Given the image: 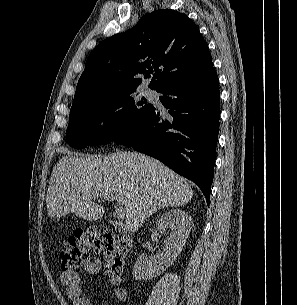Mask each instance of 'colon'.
<instances>
[{
  "label": "colon",
  "instance_id": "colon-1",
  "mask_svg": "<svg viewBox=\"0 0 297 305\" xmlns=\"http://www.w3.org/2000/svg\"><path fill=\"white\" fill-rule=\"evenodd\" d=\"M93 252L102 253L108 266L116 273L126 265L127 249L121 237L105 229L87 228L75 232L63 244L59 253L61 270L80 268Z\"/></svg>",
  "mask_w": 297,
  "mask_h": 305
}]
</instances>
